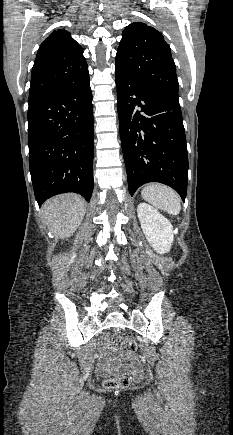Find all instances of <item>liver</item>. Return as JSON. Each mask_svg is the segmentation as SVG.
Wrapping results in <instances>:
<instances>
[{
  "instance_id": "1",
  "label": "liver",
  "mask_w": 233,
  "mask_h": 435,
  "mask_svg": "<svg viewBox=\"0 0 233 435\" xmlns=\"http://www.w3.org/2000/svg\"><path fill=\"white\" fill-rule=\"evenodd\" d=\"M85 211V200L72 193L55 196L42 206L49 230L61 239L70 237L76 231Z\"/></svg>"
}]
</instances>
